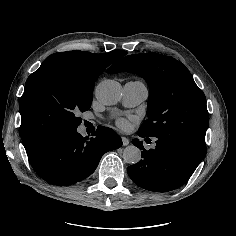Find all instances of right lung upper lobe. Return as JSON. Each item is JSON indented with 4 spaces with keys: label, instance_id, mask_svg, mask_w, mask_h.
Here are the masks:
<instances>
[{
    "label": "right lung upper lobe",
    "instance_id": "obj_1",
    "mask_svg": "<svg viewBox=\"0 0 236 236\" xmlns=\"http://www.w3.org/2000/svg\"><path fill=\"white\" fill-rule=\"evenodd\" d=\"M126 54L124 51H113L99 55L77 50L58 52L50 55L39 69L48 66H67L86 77L98 78L106 67Z\"/></svg>",
    "mask_w": 236,
    "mask_h": 236
}]
</instances>
